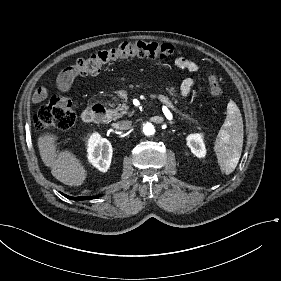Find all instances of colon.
<instances>
[{"mask_svg":"<svg viewBox=\"0 0 281 281\" xmlns=\"http://www.w3.org/2000/svg\"><path fill=\"white\" fill-rule=\"evenodd\" d=\"M178 52L169 44L156 42H125L118 47L96 52L76 61L73 71L76 75H94L107 69L110 65L130 58L147 57L164 60L177 56ZM212 94L222 97L219 80L212 73L208 74ZM76 115L68 96L54 95L36 113L34 118L37 130L46 133L69 130L75 123Z\"/></svg>","mask_w":281,"mask_h":281,"instance_id":"1","label":"colon"}]
</instances>
